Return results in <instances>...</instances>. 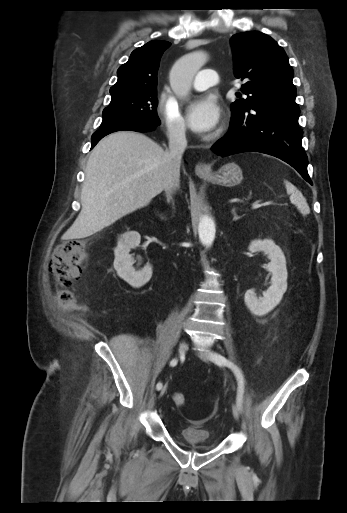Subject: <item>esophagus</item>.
Listing matches in <instances>:
<instances>
[{
    "instance_id": "1",
    "label": "esophagus",
    "mask_w": 347,
    "mask_h": 513,
    "mask_svg": "<svg viewBox=\"0 0 347 513\" xmlns=\"http://www.w3.org/2000/svg\"><path fill=\"white\" fill-rule=\"evenodd\" d=\"M195 173L198 176H204L210 173V168L204 162H199L195 166Z\"/></svg>"
}]
</instances>
